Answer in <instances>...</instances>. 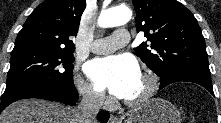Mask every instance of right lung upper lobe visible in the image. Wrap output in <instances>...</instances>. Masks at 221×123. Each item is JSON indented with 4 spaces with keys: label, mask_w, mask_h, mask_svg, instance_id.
<instances>
[{
    "label": "right lung upper lobe",
    "mask_w": 221,
    "mask_h": 123,
    "mask_svg": "<svg viewBox=\"0 0 221 123\" xmlns=\"http://www.w3.org/2000/svg\"><path fill=\"white\" fill-rule=\"evenodd\" d=\"M85 0H46L29 15L13 51L41 48L73 51Z\"/></svg>",
    "instance_id": "obj_1"
}]
</instances>
